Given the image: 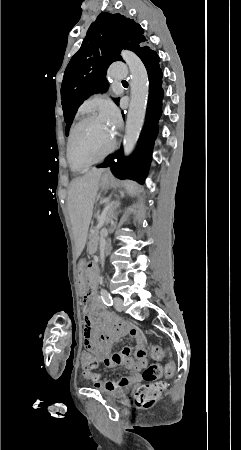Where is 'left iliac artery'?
<instances>
[{"instance_id": "44dca946", "label": "left iliac artery", "mask_w": 241, "mask_h": 450, "mask_svg": "<svg viewBox=\"0 0 241 450\" xmlns=\"http://www.w3.org/2000/svg\"><path fill=\"white\" fill-rule=\"evenodd\" d=\"M101 297H102L104 304H106L107 306L113 305L112 297L107 290H105V289L101 290Z\"/></svg>"}]
</instances>
